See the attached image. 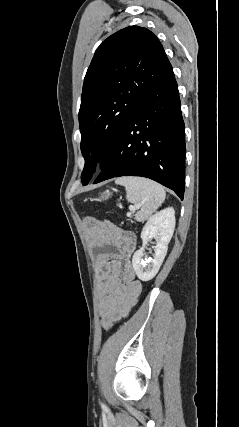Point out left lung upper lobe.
<instances>
[{"label": "left lung upper lobe", "instance_id": "obj_1", "mask_svg": "<svg viewBox=\"0 0 239 427\" xmlns=\"http://www.w3.org/2000/svg\"><path fill=\"white\" fill-rule=\"evenodd\" d=\"M171 70L162 44L143 27L121 29L97 48L79 110L83 185L91 180L100 157L105 166L138 104Z\"/></svg>", "mask_w": 239, "mask_h": 427}]
</instances>
